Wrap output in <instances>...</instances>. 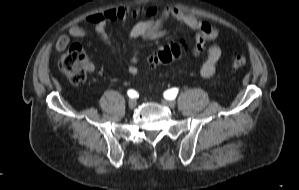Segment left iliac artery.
<instances>
[{"mask_svg": "<svg viewBox=\"0 0 299 190\" xmlns=\"http://www.w3.org/2000/svg\"><path fill=\"white\" fill-rule=\"evenodd\" d=\"M178 88H172L164 92V97L168 100H173L177 96Z\"/></svg>", "mask_w": 299, "mask_h": 190, "instance_id": "left-iliac-artery-1", "label": "left iliac artery"}]
</instances>
